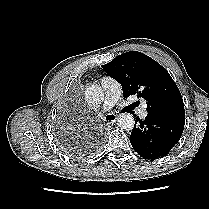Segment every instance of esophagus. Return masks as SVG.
I'll use <instances>...</instances> for the list:
<instances>
[{
	"instance_id": "1",
	"label": "esophagus",
	"mask_w": 209,
	"mask_h": 209,
	"mask_svg": "<svg viewBox=\"0 0 209 209\" xmlns=\"http://www.w3.org/2000/svg\"><path fill=\"white\" fill-rule=\"evenodd\" d=\"M107 116L111 119V120L107 121L108 123H114L118 118L117 115H115V114H109Z\"/></svg>"
}]
</instances>
